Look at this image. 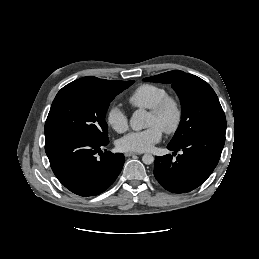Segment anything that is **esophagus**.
Returning <instances> with one entry per match:
<instances>
[{
    "instance_id": "obj_1",
    "label": "esophagus",
    "mask_w": 259,
    "mask_h": 259,
    "mask_svg": "<svg viewBox=\"0 0 259 259\" xmlns=\"http://www.w3.org/2000/svg\"><path fill=\"white\" fill-rule=\"evenodd\" d=\"M141 153H137V152H125V156L126 157H130V156H134V155H140Z\"/></svg>"
}]
</instances>
